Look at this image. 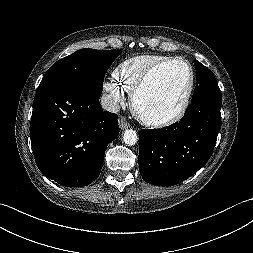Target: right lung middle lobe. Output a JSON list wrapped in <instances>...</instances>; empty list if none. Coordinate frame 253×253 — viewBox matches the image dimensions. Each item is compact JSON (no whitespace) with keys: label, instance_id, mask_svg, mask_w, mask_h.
I'll use <instances>...</instances> for the list:
<instances>
[{"label":"right lung middle lobe","instance_id":"right-lung-middle-lobe-1","mask_svg":"<svg viewBox=\"0 0 253 253\" xmlns=\"http://www.w3.org/2000/svg\"><path fill=\"white\" fill-rule=\"evenodd\" d=\"M121 50L81 49L54 63L38 88L52 83H71L102 92L104 76Z\"/></svg>","mask_w":253,"mask_h":253}]
</instances>
